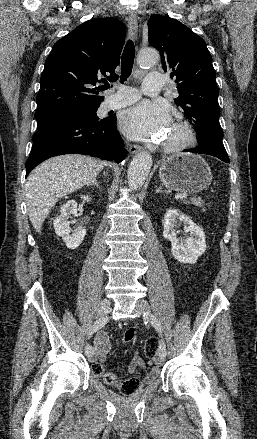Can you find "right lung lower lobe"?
Segmentation results:
<instances>
[{"instance_id": "1", "label": "right lung lower lobe", "mask_w": 257, "mask_h": 439, "mask_svg": "<svg viewBox=\"0 0 257 439\" xmlns=\"http://www.w3.org/2000/svg\"><path fill=\"white\" fill-rule=\"evenodd\" d=\"M26 176L44 160L63 154H84L103 160L125 159L127 150L116 129V116L96 119L82 113H64L37 120Z\"/></svg>"}]
</instances>
